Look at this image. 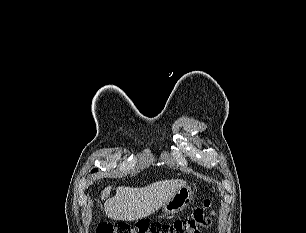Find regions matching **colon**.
Returning <instances> with one entry per match:
<instances>
[{"mask_svg": "<svg viewBox=\"0 0 306 233\" xmlns=\"http://www.w3.org/2000/svg\"><path fill=\"white\" fill-rule=\"evenodd\" d=\"M212 202L205 200L203 206L194 210L193 214L180 221L173 223H149L137 222H105L99 225L97 233H199L207 228L212 222Z\"/></svg>", "mask_w": 306, "mask_h": 233, "instance_id": "1", "label": "colon"}]
</instances>
